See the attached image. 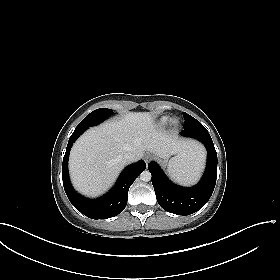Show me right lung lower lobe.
<instances>
[{
	"mask_svg": "<svg viewBox=\"0 0 280 280\" xmlns=\"http://www.w3.org/2000/svg\"><path fill=\"white\" fill-rule=\"evenodd\" d=\"M85 130H76L71 135L62 164L63 186L72 205L85 216L91 219H107L121 213L127 204L128 190L135 179L146 168L144 161H139L126 167L121 173L116 185L106 195L96 200H89L79 195L73 189L68 175V158L70 149L75 140Z\"/></svg>",
	"mask_w": 280,
	"mask_h": 280,
	"instance_id": "obj_1",
	"label": "right lung lower lobe"
}]
</instances>
